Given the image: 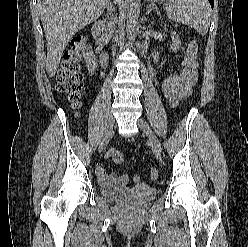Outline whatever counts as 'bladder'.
Listing matches in <instances>:
<instances>
[{
	"label": "bladder",
	"instance_id": "1",
	"mask_svg": "<svg viewBox=\"0 0 248 247\" xmlns=\"http://www.w3.org/2000/svg\"><path fill=\"white\" fill-rule=\"evenodd\" d=\"M155 189L143 182H136L133 186L116 189L111 187H100V194L105 199L113 202L142 203L147 197L153 195Z\"/></svg>",
	"mask_w": 248,
	"mask_h": 247
}]
</instances>
